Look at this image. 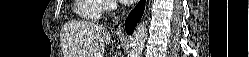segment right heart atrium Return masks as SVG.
<instances>
[{
  "label": "right heart atrium",
  "instance_id": "right-heart-atrium-1",
  "mask_svg": "<svg viewBox=\"0 0 249 57\" xmlns=\"http://www.w3.org/2000/svg\"><path fill=\"white\" fill-rule=\"evenodd\" d=\"M102 3V11L111 12L117 8V3L114 0H100Z\"/></svg>",
  "mask_w": 249,
  "mask_h": 57
}]
</instances>
